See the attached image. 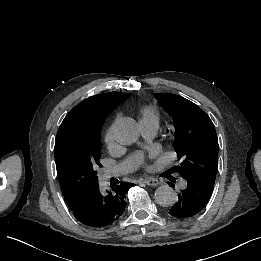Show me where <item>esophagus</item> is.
Here are the masks:
<instances>
[{"instance_id":"obj_1","label":"esophagus","mask_w":261,"mask_h":261,"mask_svg":"<svg viewBox=\"0 0 261 261\" xmlns=\"http://www.w3.org/2000/svg\"><path fill=\"white\" fill-rule=\"evenodd\" d=\"M144 183L149 186H156L160 184V181L157 179H147L144 181Z\"/></svg>"}]
</instances>
